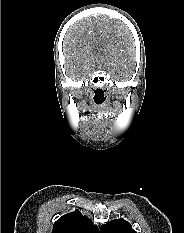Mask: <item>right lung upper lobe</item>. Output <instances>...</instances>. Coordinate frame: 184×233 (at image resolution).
Segmentation results:
<instances>
[{
	"mask_svg": "<svg viewBox=\"0 0 184 233\" xmlns=\"http://www.w3.org/2000/svg\"><path fill=\"white\" fill-rule=\"evenodd\" d=\"M52 233H100L97 226L79 210L68 213L58 219L53 226Z\"/></svg>",
	"mask_w": 184,
	"mask_h": 233,
	"instance_id": "cb5924a9",
	"label": "right lung upper lobe"
}]
</instances>
